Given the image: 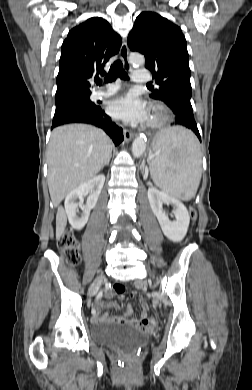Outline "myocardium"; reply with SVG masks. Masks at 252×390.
Here are the masks:
<instances>
[{
    "label": "myocardium",
    "mask_w": 252,
    "mask_h": 390,
    "mask_svg": "<svg viewBox=\"0 0 252 390\" xmlns=\"http://www.w3.org/2000/svg\"><path fill=\"white\" fill-rule=\"evenodd\" d=\"M152 117L148 121V127L158 129L163 127L170 118V110L167 106L161 103H155L151 107Z\"/></svg>",
    "instance_id": "f54148a6"
}]
</instances>
